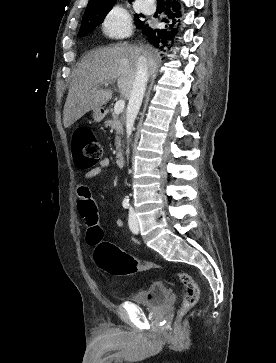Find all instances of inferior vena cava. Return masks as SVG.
Wrapping results in <instances>:
<instances>
[{"label":"inferior vena cava","instance_id":"inferior-vena-cava-1","mask_svg":"<svg viewBox=\"0 0 276 363\" xmlns=\"http://www.w3.org/2000/svg\"><path fill=\"white\" fill-rule=\"evenodd\" d=\"M147 82H148L147 64L144 60L139 59L137 63V73L132 85L129 97V103L126 111L127 138H129L132 133L134 121L141 107ZM127 153H129V149H127Z\"/></svg>","mask_w":276,"mask_h":363}]
</instances>
